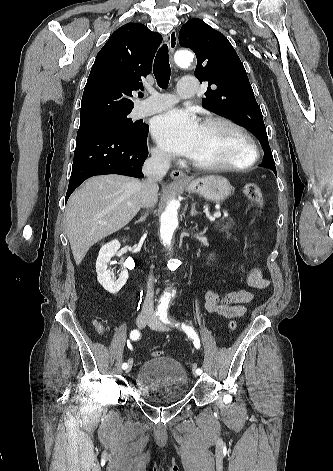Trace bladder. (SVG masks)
I'll use <instances>...</instances> for the list:
<instances>
[{
    "label": "bladder",
    "mask_w": 333,
    "mask_h": 471,
    "mask_svg": "<svg viewBox=\"0 0 333 471\" xmlns=\"http://www.w3.org/2000/svg\"><path fill=\"white\" fill-rule=\"evenodd\" d=\"M135 383L139 397L150 404L176 403L189 390V376L184 366L165 355L146 360L136 373Z\"/></svg>",
    "instance_id": "bladder-1"
}]
</instances>
